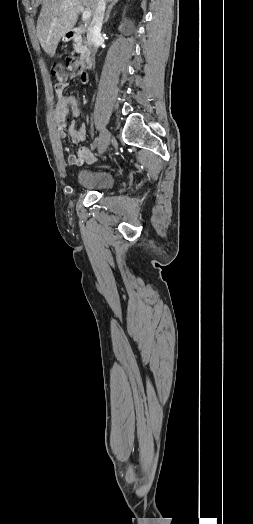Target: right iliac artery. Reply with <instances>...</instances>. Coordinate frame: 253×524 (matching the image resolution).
Instances as JSON below:
<instances>
[{
  "instance_id": "right-iliac-artery-1",
  "label": "right iliac artery",
  "mask_w": 253,
  "mask_h": 524,
  "mask_svg": "<svg viewBox=\"0 0 253 524\" xmlns=\"http://www.w3.org/2000/svg\"><path fill=\"white\" fill-rule=\"evenodd\" d=\"M99 140H100L99 138H96V139L93 141V144H92V149H93V150L98 146V144H99Z\"/></svg>"
}]
</instances>
